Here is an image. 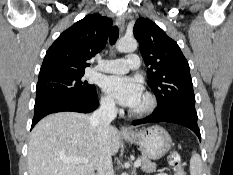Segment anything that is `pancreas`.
<instances>
[{
    "instance_id": "obj_1",
    "label": "pancreas",
    "mask_w": 233,
    "mask_h": 175,
    "mask_svg": "<svg viewBox=\"0 0 233 175\" xmlns=\"http://www.w3.org/2000/svg\"><path fill=\"white\" fill-rule=\"evenodd\" d=\"M138 160L141 161L140 167L144 172L150 173L156 170V164L151 162L146 156H139Z\"/></svg>"
}]
</instances>
